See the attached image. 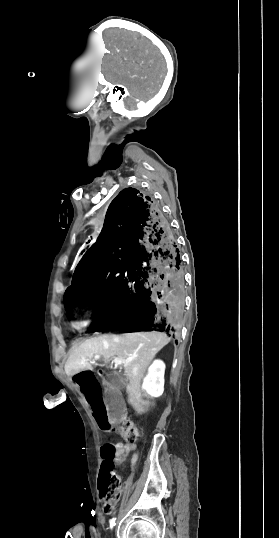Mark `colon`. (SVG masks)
I'll return each instance as SVG.
<instances>
[{
	"label": "colon",
	"mask_w": 279,
	"mask_h": 538,
	"mask_svg": "<svg viewBox=\"0 0 279 538\" xmlns=\"http://www.w3.org/2000/svg\"><path fill=\"white\" fill-rule=\"evenodd\" d=\"M119 432L128 444L135 443L139 438L137 425L129 418H124L119 425ZM102 467L99 475V490L102 507L105 513L113 509L114 502L121 487V479L113 471L112 463L116 457L115 448L107 443L101 449Z\"/></svg>",
	"instance_id": "colon-1"
}]
</instances>
